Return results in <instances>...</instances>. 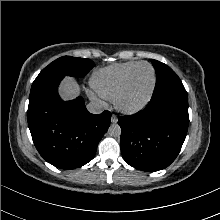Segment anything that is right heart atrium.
Masks as SVG:
<instances>
[{"instance_id":"1","label":"right heart atrium","mask_w":220,"mask_h":220,"mask_svg":"<svg viewBox=\"0 0 220 220\" xmlns=\"http://www.w3.org/2000/svg\"><path fill=\"white\" fill-rule=\"evenodd\" d=\"M91 97H92L93 99H96V97H95L94 95H91Z\"/></svg>"}]
</instances>
